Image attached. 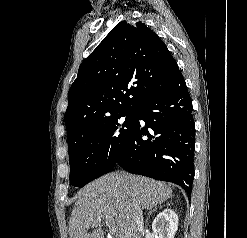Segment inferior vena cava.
I'll return each mask as SVG.
<instances>
[{"label": "inferior vena cava", "instance_id": "inferior-vena-cava-1", "mask_svg": "<svg viewBox=\"0 0 247 238\" xmlns=\"http://www.w3.org/2000/svg\"><path fill=\"white\" fill-rule=\"evenodd\" d=\"M135 224L138 231H141L143 229V214L138 205H135Z\"/></svg>", "mask_w": 247, "mask_h": 238}]
</instances>
